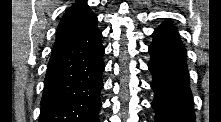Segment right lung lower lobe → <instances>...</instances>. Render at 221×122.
Listing matches in <instances>:
<instances>
[{
    "mask_svg": "<svg viewBox=\"0 0 221 122\" xmlns=\"http://www.w3.org/2000/svg\"><path fill=\"white\" fill-rule=\"evenodd\" d=\"M102 33L97 21L55 43L39 122H99L103 88Z\"/></svg>",
    "mask_w": 221,
    "mask_h": 122,
    "instance_id": "right-lung-lower-lobe-1",
    "label": "right lung lower lobe"
}]
</instances>
